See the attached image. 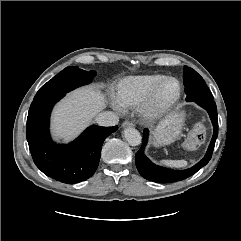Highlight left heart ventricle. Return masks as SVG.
<instances>
[{
    "instance_id": "b2bd125f",
    "label": "left heart ventricle",
    "mask_w": 241,
    "mask_h": 241,
    "mask_svg": "<svg viewBox=\"0 0 241 241\" xmlns=\"http://www.w3.org/2000/svg\"><path fill=\"white\" fill-rule=\"evenodd\" d=\"M176 90H177V87L174 82L169 81L165 83L159 92L158 101L159 102L168 101L176 94Z\"/></svg>"
}]
</instances>
